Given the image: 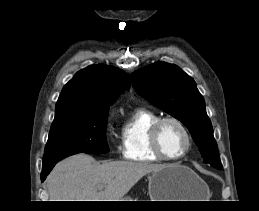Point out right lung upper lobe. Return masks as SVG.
<instances>
[{"mask_svg": "<svg viewBox=\"0 0 259 211\" xmlns=\"http://www.w3.org/2000/svg\"><path fill=\"white\" fill-rule=\"evenodd\" d=\"M130 86L128 75L107 65L80 70L64 87L56 103L55 116L72 109H109L121 91Z\"/></svg>", "mask_w": 259, "mask_h": 211, "instance_id": "obj_1", "label": "right lung upper lobe"}]
</instances>
